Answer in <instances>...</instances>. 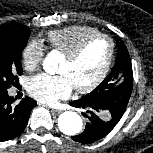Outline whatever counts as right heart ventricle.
<instances>
[{
	"mask_svg": "<svg viewBox=\"0 0 153 153\" xmlns=\"http://www.w3.org/2000/svg\"><path fill=\"white\" fill-rule=\"evenodd\" d=\"M98 33L100 32L93 27L76 25L52 30L46 40L52 49L66 55L85 38Z\"/></svg>",
	"mask_w": 153,
	"mask_h": 153,
	"instance_id": "obj_1",
	"label": "right heart ventricle"
}]
</instances>
